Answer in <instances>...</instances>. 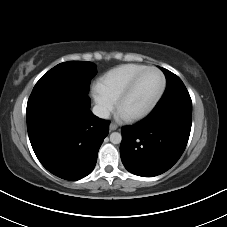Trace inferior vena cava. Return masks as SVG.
Instances as JSON below:
<instances>
[{
  "mask_svg": "<svg viewBox=\"0 0 227 227\" xmlns=\"http://www.w3.org/2000/svg\"><path fill=\"white\" fill-rule=\"evenodd\" d=\"M92 112L94 115L102 119H108L110 116L109 110L101 105H95L92 109Z\"/></svg>",
  "mask_w": 227,
  "mask_h": 227,
  "instance_id": "602c4592",
  "label": "inferior vena cava"
}]
</instances>
